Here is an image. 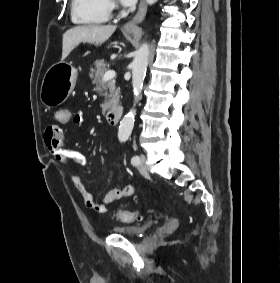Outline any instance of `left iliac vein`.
Wrapping results in <instances>:
<instances>
[{"label": "left iliac vein", "mask_w": 280, "mask_h": 283, "mask_svg": "<svg viewBox=\"0 0 280 283\" xmlns=\"http://www.w3.org/2000/svg\"><path fill=\"white\" fill-rule=\"evenodd\" d=\"M138 170H139L140 174L143 175V176L149 175V169H148V166L146 164V157L143 154H141L139 156Z\"/></svg>", "instance_id": "1"}]
</instances>
